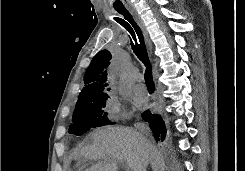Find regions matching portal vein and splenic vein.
<instances>
[{
  "label": "portal vein and splenic vein",
  "instance_id": "obj_1",
  "mask_svg": "<svg viewBox=\"0 0 245 171\" xmlns=\"http://www.w3.org/2000/svg\"><path fill=\"white\" fill-rule=\"evenodd\" d=\"M126 171H129V168L128 167H126Z\"/></svg>",
  "mask_w": 245,
  "mask_h": 171
}]
</instances>
